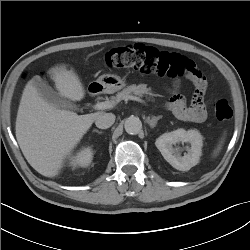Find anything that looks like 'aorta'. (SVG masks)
<instances>
[{"mask_svg":"<svg viewBox=\"0 0 250 250\" xmlns=\"http://www.w3.org/2000/svg\"><path fill=\"white\" fill-rule=\"evenodd\" d=\"M124 128L128 134L131 135L138 134L142 129L141 120L135 116L128 117L125 120Z\"/></svg>","mask_w":250,"mask_h":250,"instance_id":"obj_1","label":"aorta"}]
</instances>
